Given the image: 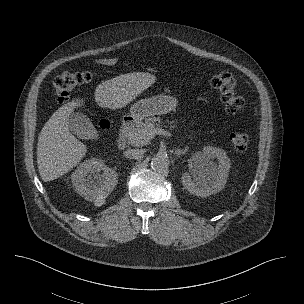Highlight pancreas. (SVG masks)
I'll use <instances>...</instances> for the list:
<instances>
[{
    "label": "pancreas",
    "instance_id": "obj_1",
    "mask_svg": "<svg viewBox=\"0 0 304 304\" xmlns=\"http://www.w3.org/2000/svg\"><path fill=\"white\" fill-rule=\"evenodd\" d=\"M156 121L160 123V119L155 117L148 118L145 120V122H138L136 128L130 130L126 135L128 143L137 147H142L149 144L151 138L148 136V133L151 130L159 127V124H157ZM173 123V121L170 122V124ZM171 127L174 128L175 125Z\"/></svg>",
    "mask_w": 304,
    "mask_h": 304
}]
</instances>
